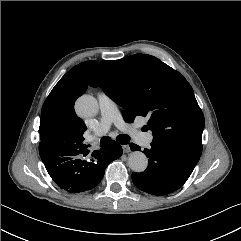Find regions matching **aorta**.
Returning <instances> with one entry per match:
<instances>
[{"mask_svg": "<svg viewBox=\"0 0 241 241\" xmlns=\"http://www.w3.org/2000/svg\"><path fill=\"white\" fill-rule=\"evenodd\" d=\"M98 102L91 95L80 96L75 103V110L81 117H92L98 113ZM128 165L134 172H144L148 165V159L142 152L135 151L129 155Z\"/></svg>", "mask_w": 241, "mask_h": 241, "instance_id": "1", "label": "aorta"}]
</instances>
